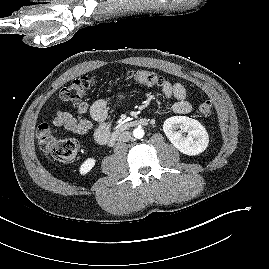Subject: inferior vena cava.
Returning <instances> with one entry per match:
<instances>
[{
	"label": "inferior vena cava",
	"mask_w": 269,
	"mask_h": 269,
	"mask_svg": "<svg viewBox=\"0 0 269 269\" xmlns=\"http://www.w3.org/2000/svg\"><path fill=\"white\" fill-rule=\"evenodd\" d=\"M130 139H131V133L129 131H124V132L120 133V135L118 137V141L120 143L127 142Z\"/></svg>",
	"instance_id": "1"
}]
</instances>
